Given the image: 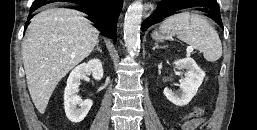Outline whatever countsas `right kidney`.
Listing matches in <instances>:
<instances>
[{
  "label": "right kidney",
  "mask_w": 257,
  "mask_h": 130,
  "mask_svg": "<svg viewBox=\"0 0 257 130\" xmlns=\"http://www.w3.org/2000/svg\"><path fill=\"white\" fill-rule=\"evenodd\" d=\"M91 73L95 80H101L103 77L102 63L99 59H92L87 63L80 64L72 70L64 90V109L67 118L72 123H80L84 120L91 109L92 100H82L78 95L80 80ZM77 105L80 108H77Z\"/></svg>",
  "instance_id": "ca27d5eb"
}]
</instances>
